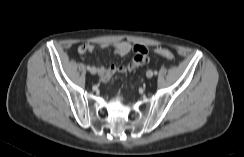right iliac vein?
I'll use <instances>...</instances> for the list:
<instances>
[{"label": "right iliac vein", "instance_id": "63e3f726", "mask_svg": "<svg viewBox=\"0 0 244 157\" xmlns=\"http://www.w3.org/2000/svg\"><path fill=\"white\" fill-rule=\"evenodd\" d=\"M90 72H91V74L95 75L97 73V70L95 67H92Z\"/></svg>", "mask_w": 244, "mask_h": 157}]
</instances>
